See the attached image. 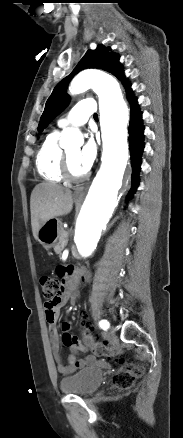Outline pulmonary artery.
Masks as SVG:
<instances>
[{"instance_id": "1", "label": "pulmonary artery", "mask_w": 183, "mask_h": 438, "mask_svg": "<svg viewBox=\"0 0 183 438\" xmlns=\"http://www.w3.org/2000/svg\"><path fill=\"white\" fill-rule=\"evenodd\" d=\"M96 112V103L92 99L78 102L69 113L59 120L60 128L76 127L87 122L88 118Z\"/></svg>"}]
</instances>
